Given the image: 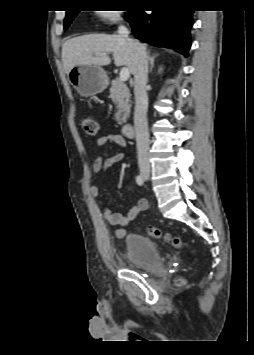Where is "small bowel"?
<instances>
[{"label": "small bowel", "mask_w": 254, "mask_h": 355, "mask_svg": "<svg viewBox=\"0 0 254 355\" xmlns=\"http://www.w3.org/2000/svg\"><path fill=\"white\" fill-rule=\"evenodd\" d=\"M97 146L103 147L106 145H119L125 147L127 145L126 139L119 134H106L100 136L96 141ZM124 158V154L119 153L113 156L104 158L103 156H98L93 164L92 170L95 173L101 171H107L117 162H120ZM90 195L98 199L100 204L103 206L102 216L104 220L110 225L114 227H119L115 231V236L117 238H123L126 235V231L124 227L131 221L135 220L137 216L148 209L149 204L148 201L144 198L139 199L135 205H133L126 214L114 212L108 206L104 204V201L100 197L99 189L96 186H92L90 188Z\"/></svg>", "instance_id": "c3829d8e"}]
</instances>
